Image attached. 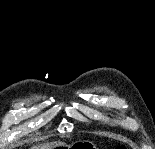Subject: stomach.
<instances>
[{
  "label": "stomach",
  "instance_id": "1",
  "mask_svg": "<svg viewBox=\"0 0 155 149\" xmlns=\"http://www.w3.org/2000/svg\"><path fill=\"white\" fill-rule=\"evenodd\" d=\"M68 149L72 148V149H90V148H95V146L88 141H79L76 142L74 144H72L71 146H65Z\"/></svg>",
  "mask_w": 155,
  "mask_h": 149
}]
</instances>
